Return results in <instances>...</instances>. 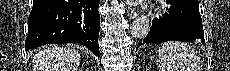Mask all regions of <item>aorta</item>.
<instances>
[{
    "mask_svg": "<svg viewBox=\"0 0 230 71\" xmlns=\"http://www.w3.org/2000/svg\"><path fill=\"white\" fill-rule=\"evenodd\" d=\"M150 29L149 19L145 15L138 16L130 27L132 37L137 39L144 38Z\"/></svg>",
    "mask_w": 230,
    "mask_h": 71,
    "instance_id": "obj_1",
    "label": "aorta"
}]
</instances>
